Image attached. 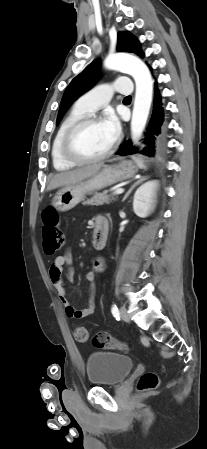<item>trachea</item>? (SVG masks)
Listing matches in <instances>:
<instances>
[{
	"mask_svg": "<svg viewBox=\"0 0 207 449\" xmlns=\"http://www.w3.org/2000/svg\"><path fill=\"white\" fill-rule=\"evenodd\" d=\"M129 99H131V96H127L124 98V100H129Z\"/></svg>",
	"mask_w": 207,
	"mask_h": 449,
	"instance_id": "1",
	"label": "trachea"
}]
</instances>
